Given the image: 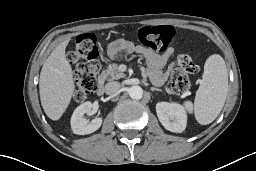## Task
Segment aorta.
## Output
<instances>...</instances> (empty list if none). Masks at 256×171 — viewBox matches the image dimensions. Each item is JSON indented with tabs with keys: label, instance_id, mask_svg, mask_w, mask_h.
I'll list each match as a JSON object with an SVG mask.
<instances>
[{
	"label": "aorta",
	"instance_id": "obj_1",
	"mask_svg": "<svg viewBox=\"0 0 256 171\" xmlns=\"http://www.w3.org/2000/svg\"><path fill=\"white\" fill-rule=\"evenodd\" d=\"M128 94L132 99L139 100L143 96V89L140 86H131L128 89Z\"/></svg>",
	"mask_w": 256,
	"mask_h": 171
}]
</instances>
